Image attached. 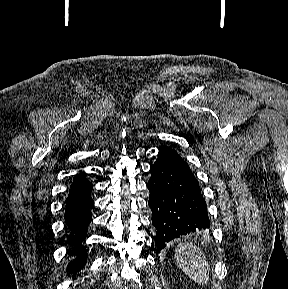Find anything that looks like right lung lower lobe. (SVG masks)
I'll return each instance as SVG.
<instances>
[{"mask_svg":"<svg viewBox=\"0 0 288 289\" xmlns=\"http://www.w3.org/2000/svg\"><path fill=\"white\" fill-rule=\"evenodd\" d=\"M85 176V173H81L75 178L66 198L64 218L69 231L66 242L72 247L71 252L76 254V258L67 266L69 273L79 272L88 257L81 244L86 238L88 225L91 221L90 208L93 206L91 198L93 185Z\"/></svg>","mask_w":288,"mask_h":289,"instance_id":"right-lung-lower-lobe-1","label":"right lung lower lobe"}]
</instances>
